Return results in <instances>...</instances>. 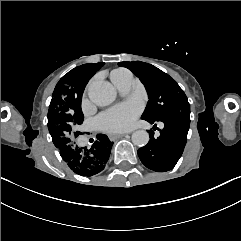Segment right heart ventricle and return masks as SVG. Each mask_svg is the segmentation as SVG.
<instances>
[{"label": "right heart ventricle", "mask_w": 241, "mask_h": 241, "mask_svg": "<svg viewBox=\"0 0 241 241\" xmlns=\"http://www.w3.org/2000/svg\"><path fill=\"white\" fill-rule=\"evenodd\" d=\"M131 77L130 73L126 70H116L112 74V81L116 87L124 85Z\"/></svg>", "instance_id": "obj_1"}]
</instances>
